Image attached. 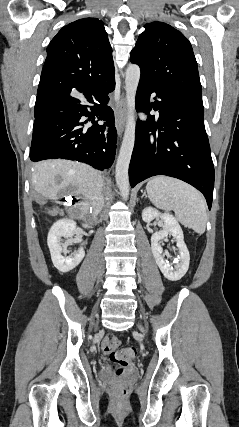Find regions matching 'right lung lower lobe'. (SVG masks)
Returning a JSON list of instances; mask_svg holds the SVG:
<instances>
[{"label":"right lung lower lobe","instance_id":"right-lung-lower-lobe-1","mask_svg":"<svg viewBox=\"0 0 239 427\" xmlns=\"http://www.w3.org/2000/svg\"><path fill=\"white\" fill-rule=\"evenodd\" d=\"M115 78L96 86L65 89L36 101L43 106L35 115L30 159L34 162L63 158L87 163L94 168H109L115 158L117 132L108 93ZM84 117H88L85 120ZM95 118L104 120L99 125ZM92 121L88 127L86 123Z\"/></svg>","mask_w":239,"mask_h":427}]
</instances>
